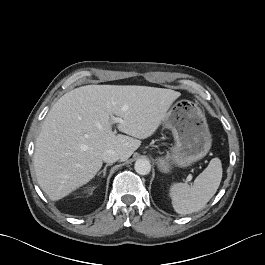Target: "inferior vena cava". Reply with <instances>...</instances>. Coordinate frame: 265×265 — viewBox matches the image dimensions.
Masks as SVG:
<instances>
[{
	"instance_id": "inferior-vena-cava-1",
	"label": "inferior vena cava",
	"mask_w": 265,
	"mask_h": 265,
	"mask_svg": "<svg viewBox=\"0 0 265 265\" xmlns=\"http://www.w3.org/2000/svg\"><path fill=\"white\" fill-rule=\"evenodd\" d=\"M119 158V154L112 149H108L102 154V160L108 164L116 162L117 160H119Z\"/></svg>"
}]
</instances>
